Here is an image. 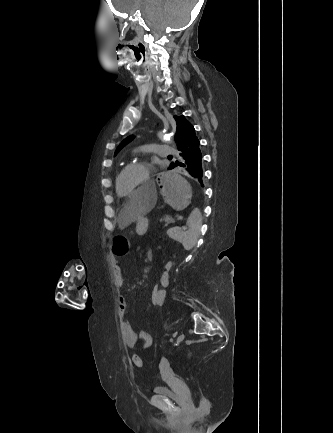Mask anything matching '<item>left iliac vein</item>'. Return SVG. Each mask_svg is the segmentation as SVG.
Masks as SVG:
<instances>
[{
    "mask_svg": "<svg viewBox=\"0 0 333 433\" xmlns=\"http://www.w3.org/2000/svg\"><path fill=\"white\" fill-rule=\"evenodd\" d=\"M185 336L183 334L179 335L176 339V342L179 344L180 342H182L184 340Z\"/></svg>",
    "mask_w": 333,
    "mask_h": 433,
    "instance_id": "obj_1",
    "label": "left iliac vein"
}]
</instances>
